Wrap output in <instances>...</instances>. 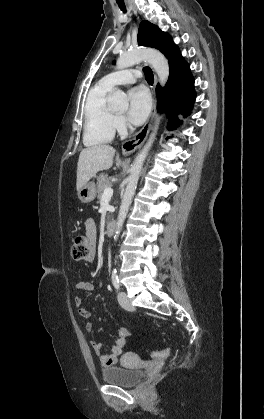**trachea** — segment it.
<instances>
[{
	"mask_svg": "<svg viewBox=\"0 0 264 419\" xmlns=\"http://www.w3.org/2000/svg\"><path fill=\"white\" fill-rule=\"evenodd\" d=\"M119 8L125 13L126 12V7L124 4H118ZM144 74H145V78L147 80L148 83L152 84L154 81V76L153 73L151 71V69L149 67H144L143 68Z\"/></svg>",
	"mask_w": 264,
	"mask_h": 419,
	"instance_id": "1",
	"label": "trachea"
}]
</instances>
